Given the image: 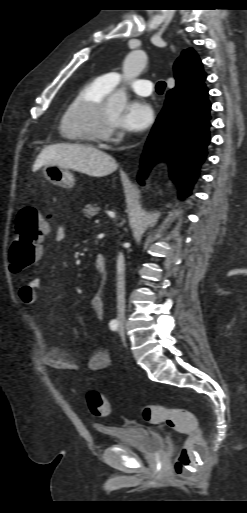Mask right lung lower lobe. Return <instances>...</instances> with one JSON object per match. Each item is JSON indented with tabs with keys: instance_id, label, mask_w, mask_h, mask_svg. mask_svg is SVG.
Masks as SVG:
<instances>
[{
	"instance_id": "1",
	"label": "right lung lower lobe",
	"mask_w": 247,
	"mask_h": 513,
	"mask_svg": "<svg viewBox=\"0 0 247 513\" xmlns=\"http://www.w3.org/2000/svg\"><path fill=\"white\" fill-rule=\"evenodd\" d=\"M211 103L203 83L188 92L170 90L145 145L138 181L143 184L152 166L169 163L173 180L181 183L180 194L187 196L206 158L210 141Z\"/></svg>"
}]
</instances>
